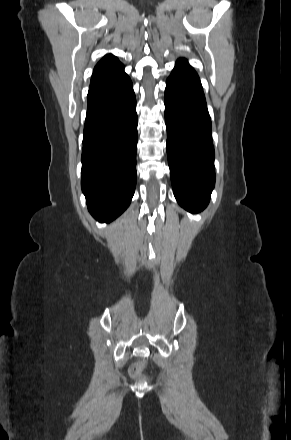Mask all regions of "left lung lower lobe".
I'll return each instance as SVG.
<instances>
[{
    "mask_svg": "<svg viewBox=\"0 0 291 440\" xmlns=\"http://www.w3.org/2000/svg\"><path fill=\"white\" fill-rule=\"evenodd\" d=\"M165 122L171 182L187 211L203 210L215 183L211 120L199 77L179 59L166 81Z\"/></svg>",
    "mask_w": 291,
    "mask_h": 440,
    "instance_id": "left-lung-lower-lobe-1",
    "label": "left lung lower lobe"
}]
</instances>
